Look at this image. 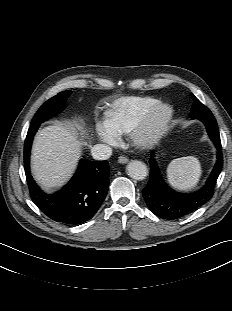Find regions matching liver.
Listing matches in <instances>:
<instances>
[{
    "mask_svg": "<svg viewBox=\"0 0 232 311\" xmlns=\"http://www.w3.org/2000/svg\"><path fill=\"white\" fill-rule=\"evenodd\" d=\"M77 129L81 127L58 123L37 134L32 150V170L43 188L61 186L74 172L82 145Z\"/></svg>",
    "mask_w": 232,
    "mask_h": 311,
    "instance_id": "obj_1",
    "label": "liver"
}]
</instances>
